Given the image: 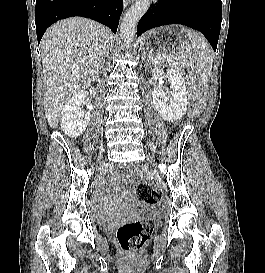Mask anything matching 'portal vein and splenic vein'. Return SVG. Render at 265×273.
Instances as JSON below:
<instances>
[{
    "label": "portal vein and splenic vein",
    "mask_w": 265,
    "mask_h": 273,
    "mask_svg": "<svg viewBox=\"0 0 265 273\" xmlns=\"http://www.w3.org/2000/svg\"><path fill=\"white\" fill-rule=\"evenodd\" d=\"M162 58L166 59L168 58V56L163 55L162 57H159L158 59H162Z\"/></svg>",
    "instance_id": "1"
}]
</instances>
